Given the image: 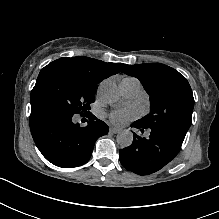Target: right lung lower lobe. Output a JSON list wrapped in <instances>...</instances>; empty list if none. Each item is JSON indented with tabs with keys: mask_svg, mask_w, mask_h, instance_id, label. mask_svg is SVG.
<instances>
[{
	"mask_svg": "<svg viewBox=\"0 0 219 219\" xmlns=\"http://www.w3.org/2000/svg\"><path fill=\"white\" fill-rule=\"evenodd\" d=\"M75 118L51 104H31L30 130L34 142L42 155L58 167L86 163L96 140L108 133V126L95 117L85 127L75 124Z\"/></svg>",
	"mask_w": 219,
	"mask_h": 219,
	"instance_id": "right-lung-lower-lobe-1",
	"label": "right lung lower lobe"
}]
</instances>
